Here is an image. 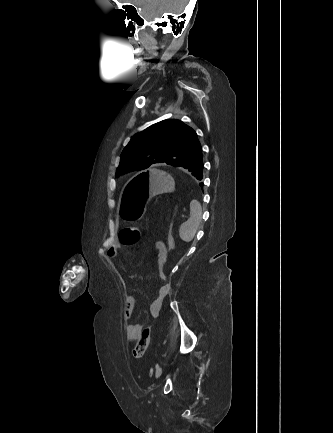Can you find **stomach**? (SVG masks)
<instances>
[{"label": "stomach", "mask_w": 333, "mask_h": 433, "mask_svg": "<svg viewBox=\"0 0 333 433\" xmlns=\"http://www.w3.org/2000/svg\"><path fill=\"white\" fill-rule=\"evenodd\" d=\"M169 169H144L124 186L119 215L129 225L138 222L146 212L147 202L154 196L174 190Z\"/></svg>", "instance_id": "obj_1"}]
</instances>
